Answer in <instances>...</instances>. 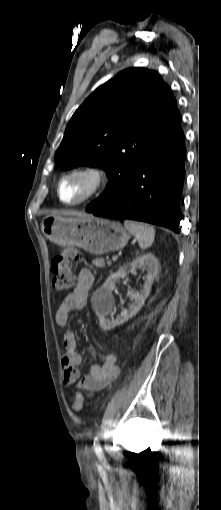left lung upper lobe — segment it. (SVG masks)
Here are the masks:
<instances>
[{
    "instance_id": "1",
    "label": "left lung upper lobe",
    "mask_w": 221,
    "mask_h": 510,
    "mask_svg": "<svg viewBox=\"0 0 221 510\" xmlns=\"http://www.w3.org/2000/svg\"><path fill=\"white\" fill-rule=\"evenodd\" d=\"M181 116L169 86L153 70L129 68L97 88L70 119L55 153L62 169L100 165L109 178L103 206L128 185L146 155L180 135Z\"/></svg>"
}]
</instances>
